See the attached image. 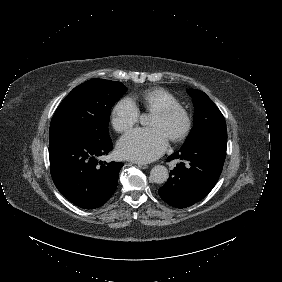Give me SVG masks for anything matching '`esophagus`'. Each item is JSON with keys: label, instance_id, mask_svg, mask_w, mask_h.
Wrapping results in <instances>:
<instances>
[{"label": "esophagus", "instance_id": "34e87169", "mask_svg": "<svg viewBox=\"0 0 282 282\" xmlns=\"http://www.w3.org/2000/svg\"><path fill=\"white\" fill-rule=\"evenodd\" d=\"M136 164L141 169H147L149 167L147 164H143V163H136Z\"/></svg>", "mask_w": 282, "mask_h": 282}]
</instances>
